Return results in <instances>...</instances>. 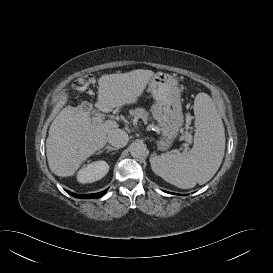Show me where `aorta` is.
I'll return each mask as SVG.
<instances>
[{
    "label": "aorta",
    "mask_w": 273,
    "mask_h": 273,
    "mask_svg": "<svg viewBox=\"0 0 273 273\" xmlns=\"http://www.w3.org/2000/svg\"><path fill=\"white\" fill-rule=\"evenodd\" d=\"M147 153V147L142 142H133L130 146V154L134 158H142Z\"/></svg>",
    "instance_id": "obj_1"
}]
</instances>
